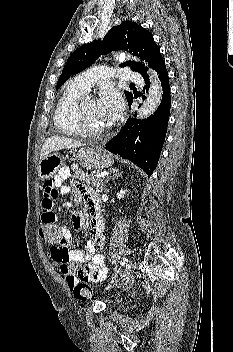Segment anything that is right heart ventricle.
<instances>
[{
  "instance_id": "e07e8e85",
  "label": "right heart ventricle",
  "mask_w": 233,
  "mask_h": 352,
  "mask_svg": "<svg viewBox=\"0 0 233 352\" xmlns=\"http://www.w3.org/2000/svg\"><path fill=\"white\" fill-rule=\"evenodd\" d=\"M86 90L74 81L66 84L64 91L56 105L54 123L56 128L64 135L78 136L81 134L76 123V108Z\"/></svg>"
}]
</instances>
